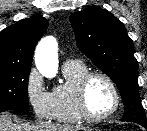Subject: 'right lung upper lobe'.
<instances>
[{
  "instance_id": "cb5924a9",
  "label": "right lung upper lobe",
  "mask_w": 147,
  "mask_h": 131,
  "mask_svg": "<svg viewBox=\"0 0 147 131\" xmlns=\"http://www.w3.org/2000/svg\"><path fill=\"white\" fill-rule=\"evenodd\" d=\"M48 27L41 16L21 20L0 34V66L30 67L38 40Z\"/></svg>"
}]
</instances>
